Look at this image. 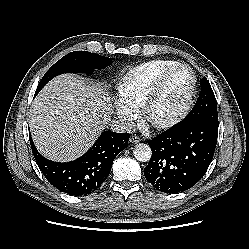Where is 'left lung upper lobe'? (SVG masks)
Wrapping results in <instances>:
<instances>
[{
	"instance_id": "5c2ea615",
	"label": "left lung upper lobe",
	"mask_w": 249,
	"mask_h": 249,
	"mask_svg": "<svg viewBox=\"0 0 249 249\" xmlns=\"http://www.w3.org/2000/svg\"><path fill=\"white\" fill-rule=\"evenodd\" d=\"M184 120L218 123L216 98L210 83L205 77L201 80V92L199 98Z\"/></svg>"
}]
</instances>
